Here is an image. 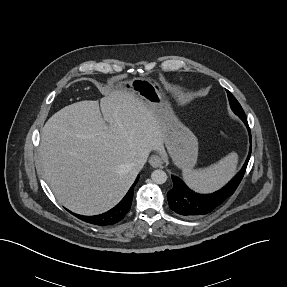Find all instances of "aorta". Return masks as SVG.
<instances>
[{
    "label": "aorta",
    "mask_w": 287,
    "mask_h": 287,
    "mask_svg": "<svg viewBox=\"0 0 287 287\" xmlns=\"http://www.w3.org/2000/svg\"><path fill=\"white\" fill-rule=\"evenodd\" d=\"M167 174L163 170H154L151 174V179L156 184H164L167 181Z\"/></svg>",
    "instance_id": "obj_1"
}]
</instances>
